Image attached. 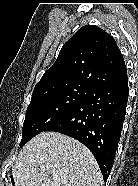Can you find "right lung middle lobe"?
<instances>
[{"label":"right lung middle lobe","mask_w":138,"mask_h":186,"mask_svg":"<svg viewBox=\"0 0 138 186\" xmlns=\"http://www.w3.org/2000/svg\"><path fill=\"white\" fill-rule=\"evenodd\" d=\"M89 90L86 86L70 85L33 93L23 123L20 146L65 117L84 101Z\"/></svg>","instance_id":"1"}]
</instances>
